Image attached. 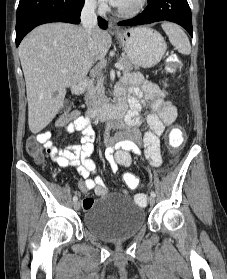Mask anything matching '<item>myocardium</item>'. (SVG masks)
I'll return each mask as SVG.
<instances>
[{"mask_svg":"<svg viewBox=\"0 0 227 279\" xmlns=\"http://www.w3.org/2000/svg\"><path fill=\"white\" fill-rule=\"evenodd\" d=\"M147 3L148 0H139L137 5L134 8L128 10L122 9L117 6L116 12L121 17H125V18L135 17L144 11V9L147 6Z\"/></svg>","mask_w":227,"mask_h":279,"instance_id":"f54148a6","label":"myocardium"}]
</instances>
